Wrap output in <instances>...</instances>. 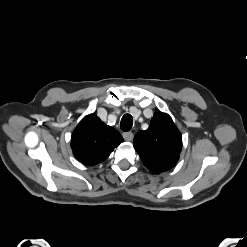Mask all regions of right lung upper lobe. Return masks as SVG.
<instances>
[{"label": "right lung upper lobe", "instance_id": "obj_1", "mask_svg": "<svg viewBox=\"0 0 247 247\" xmlns=\"http://www.w3.org/2000/svg\"><path fill=\"white\" fill-rule=\"evenodd\" d=\"M121 142L123 138L116 129L90 114L73 131L71 148L80 162L93 166L104 161Z\"/></svg>", "mask_w": 247, "mask_h": 247}]
</instances>
